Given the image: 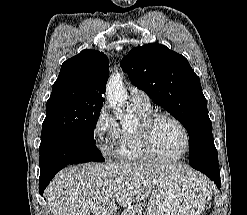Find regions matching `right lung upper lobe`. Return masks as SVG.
I'll list each match as a JSON object with an SVG mask.
<instances>
[{"mask_svg":"<svg viewBox=\"0 0 247 215\" xmlns=\"http://www.w3.org/2000/svg\"><path fill=\"white\" fill-rule=\"evenodd\" d=\"M108 76L106 55L95 50H83L62 64L52 92L68 89L75 96L103 102Z\"/></svg>","mask_w":247,"mask_h":215,"instance_id":"cb5924a9","label":"right lung upper lobe"}]
</instances>
